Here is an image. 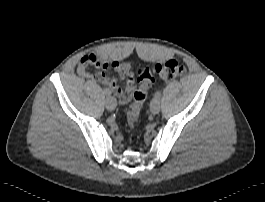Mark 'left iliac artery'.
Masks as SVG:
<instances>
[{
    "label": "left iliac artery",
    "instance_id": "44dca946",
    "mask_svg": "<svg viewBox=\"0 0 265 202\" xmlns=\"http://www.w3.org/2000/svg\"><path fill=\"white\" fill-rule=\"evenodd\" d=\"M154 97L157 98V99H160L161 93L160 92H156Z\"/></svg>",
    "mask_w": 265,
    "mask_h": 202
}]
</instances>
